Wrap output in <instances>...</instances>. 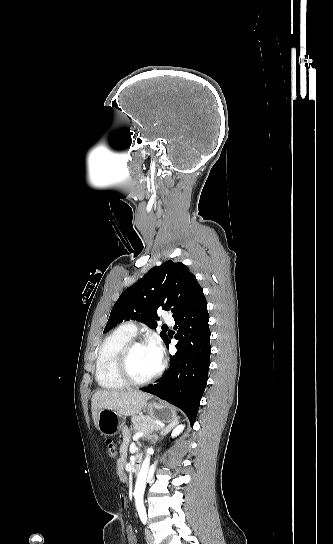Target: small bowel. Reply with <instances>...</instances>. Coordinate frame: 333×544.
Here are the masks:
<instances>
[{"label": "small bowel", "instance_id": "1", "mask_svg": "<svg viewBox=\"0 0 333 544\" xmlns=\"http://www.w3.org/2000/svg\"><path fill=\"white\" fill-rule=\"evenodd\" d=\"M127 444H128V434H127V432H125L124 433V441H123V443L121 445V448H120L121 456L117 461V476H118L119 480L122 483H127L128 482L127 475H126V473L124 471V466L126 464ZM120 503H121L122 508H126V506H127L126 497L121 496L120 497ZM126 534H127L128 544H137L136 536L134 535L133 530H132L131 527H128L126 529Z\"/></svg>", "mask_w": 333, "mask_h": 544}]
</instances>
